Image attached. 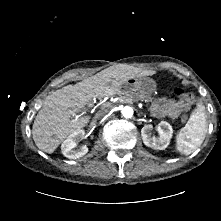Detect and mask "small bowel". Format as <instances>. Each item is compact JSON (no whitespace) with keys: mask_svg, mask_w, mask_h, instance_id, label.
<instances>
[{"mask_svg":"<svg viewBox=\"0 0 221 221\" xmlns=\"http://www.w3.org/2000/svg\"><path fill=\"white\" fill-rule=\"evenodd\" d=\"M187 106L181 100L169 99L166 97L159 98L152 106V112L156 117L177 118L181 112L187 111Z\"/></svg>","mask_w":221,"mask_h":221,"instance_id":"small-bowel-1","label":"small bowel"}]
</instances>
